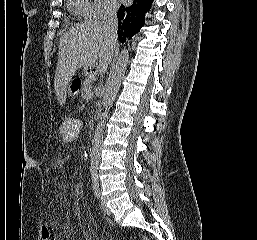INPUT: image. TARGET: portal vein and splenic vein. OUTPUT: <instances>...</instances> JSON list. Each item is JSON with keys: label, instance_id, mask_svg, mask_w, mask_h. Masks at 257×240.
Wrapping results in <instances>:
<instances>
[{"label": "portal vein and splenic vein", "instance_id": "1", "mask_svg": "<svg viewBox=\"0 0 257 240\" xmlns=\"http://www.w3.org/2000/svg\"><path fill=\"white\" fill-rule=\"evenodd\" d=\"M93 93L91 91H88V97H91Z\"/></svg>", "mask_w": 257, "mask_h": 240}]
</instances>
